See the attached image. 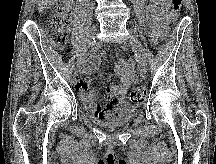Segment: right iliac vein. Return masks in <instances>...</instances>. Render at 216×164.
<instances>
[{
  "label": "right iliac vein",
  "mask_w": 216,
  "mask_h": 164,
  "mask_svg": "<svg viewBox=\"0 0 216 164\" xmlns=\"http://www.w3.org/2000/svg\"><path fill=\"white\" fill-rule=\"evenodd\" d=\"M95 34H96V28H92L85 39V43L82 47V52L79 55L78 61H77V70H76L77 73L81 72L82 68L84 67L86 52L88 50V47H90L91 44L93 43L95 39Z\"/></svg>",
  "instance_id": "1"
}]
</instances>
